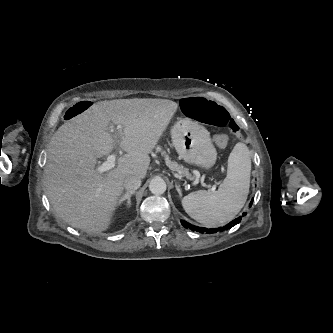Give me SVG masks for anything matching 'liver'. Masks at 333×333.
Wrapping results in <instances>:
<instances>
[{
    "instance_id": "6515ba94",
    "label": "liver",
    "mask_w": 333,
    "mask_h": 333,
    "mask_svg": "<svg viewBox=\"0 0 333 333\" xmlns=\"http://www.w3.org/2000/svg\"><path fill=\"white\" fill-rule=\"evenodd\" d=\"M177 103L166 99L100 101L67 120L51 138L45 183L55 212L67 224L88 233L108 229L124 180L145 178L149 153L167 128ZM112 121L121 130L111 134ZM118 147L126 152L107 173L97 158Z\"/></svg>"
}]
</instances>
